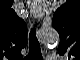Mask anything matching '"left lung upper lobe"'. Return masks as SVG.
<instances>
[{"label":"left lung upper lobe","instance_id":"obj_1","mask_svg":"<svg viewBox=\"0 0 80 60\" xmlns=\"http://www.w3.org/2000/svg\"><path fill=\"white\" fill-rule=\"evenodd\" d=\"M66 6L60 7L53 16L52 25L58 31L61 42L60 45L64 48L67 43V32L70 29V13H66Z\"/></svg>","mask_w":80,"mask_h":60}]
</instances>
